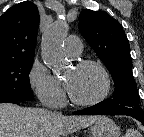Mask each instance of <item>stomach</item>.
I'll return each instance as SVG.
<instances>
[{
	"label": "stomach",
	"mask_w": 144,
	"mask_h": 137,
	"mask_svg": "<svg viewBox=\"0 0 144 137\" xmlns=\"http://www.w3.org/2000/svg\"><path fill=\"white\" fill-rule=\"evenodd\" d=\"M91 137H120L119 127L108 117L101 116L91 126Z\"/></svg>",
	"instance_id": "stomach-1"
}]
</instances>
